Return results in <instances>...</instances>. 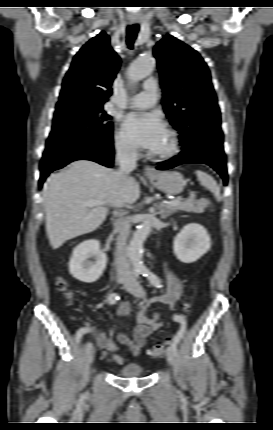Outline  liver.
Masks as SVG:
<instances>
[{"label": "liver", "instance_id": "obj_1", "mask_svg": "<svg viewBox=\"0 0 273 430\" xmlns=\"http://www.w3.org/2000/svg\"><path fill=\"white\" fill-rule=\"evenodd\" d=\"M43 192L46 231L53 249L96 230L105 220L108 206L133 204L140 197L133 177L121 182L117 171L90 160L73 161L61 172L51 174ZM93 199L105 203L87 206Z\"/></svg>", "mask_w": 273, "mask_h": 430}]
</instances>
